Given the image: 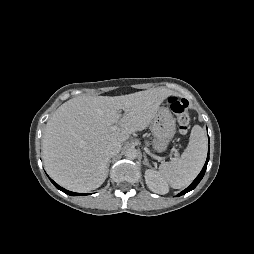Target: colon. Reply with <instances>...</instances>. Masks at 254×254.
<instances>
[{
    "instance_id": "5ec220e1",
    "label": "colon",
    "mask_w": 254,
    "mask_h": 254,
    "mask_svg": "<svg viewBox=\"0 0 254 254\" xmlns=\"http://www.w3.org/2000/svg\"><path fill=\"white\" fill-rule=\"evenodd\" d=\"M170 110L176 115L179 131L182 135L186 134L191 122V113L189 111L188 101L171 96L168 99Z\"/></svg>"
}]
</instances>
